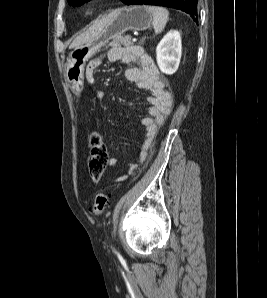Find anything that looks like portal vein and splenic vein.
Listing matches in <instances>:
<instances>
[{
  "label": "portal vein and splenic vein",
  "mask_w": 267,
  "mask_h": 298,
  "mask_svg": "<svg viewBox=\"0 0 267 298\" xmlns=\"http://www.w3.org/2000/svg\"><path fill=\"white\" fill-rule=\"evenodd\" d=\"M132 41H133V42H135V41H136V39L134 38Z\"/></svg>",
  "instance_id": "obj_1"
}]
</instances>
